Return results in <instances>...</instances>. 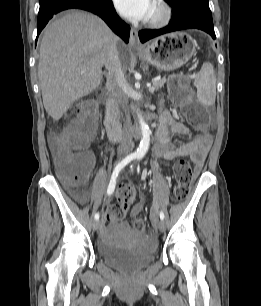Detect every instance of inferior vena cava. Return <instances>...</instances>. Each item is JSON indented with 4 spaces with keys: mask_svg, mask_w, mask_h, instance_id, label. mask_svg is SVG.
Masks as SVG:
<instances>
[{
    "mask_svg": "<svg viewBox=\"0 0 261 306\" xmlns=\"http://www.w3.org/2000/svg\"><path fill=\"white\" fill-rule=\"evenodd\" d=\"M105 68L107 69L106 74V86L111 94L112 99L116 107L119 110H123L125 114L124 126H123V137L121 144L118 148L120 153L127 154L133 147L132 141V123L129 112L127 110V95H126V78L124 71L119 60L117 48L114 47L107 56L105 62Z\"/></svg>",
    "mask_w": 261,
    "mask_h": 306,
    "instance_id": "602c4592",
    "label": "inferior vena cava"
}]
</instances>
